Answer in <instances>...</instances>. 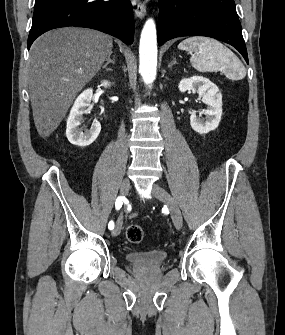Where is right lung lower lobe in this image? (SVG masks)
Returning <instances> with one entry per match:
<instances>
[{
  "instance_id": "obj_1",
  "label": "right lung lower lobe",
  "mask_w": 285,
  "mask_h": 335,
  "mask_svg": "<svg viewBox=\"0 0 285 335\" xmlns=\"http://www.w3.org/2000/svg\"><path fill=\"white\" fill-rule=\"evenodd\" d=\"M82 26L132 44L133 11L129 0H35L28 49L41 34L55 28Z\"/></svg>"
}]
</instances>
